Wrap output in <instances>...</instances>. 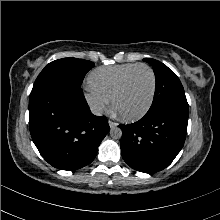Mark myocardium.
I'll use <instances>...</instances> for the list:
<instances>
[{
	"instance_id": "obj_1",
	"label": "myocardium",
	"mask_w": 220,
	"mask_h": 220,
	"mask_svg": "<svg viewBox=\"0 0 220 220\" xmlns=\"http://www.w3.org/2000/svg\"><path fill=\"white\" fill-rule=\"evenodd\" d=\"M139 68H146L152 77V91H151V95L149 98V101L147 103V105L143 108L142 111H140L137 114L134 115H124L121 114L117 111L116 109V100L119 97V95L123 92L128 79L130 78V76L133 74V72ZM156 88H157V78H156V74L153 70V68L151 66H149L148 64L145 63H140L137 64L136 66H134L132 69H130L125 75L124 77L121 79L120 83L118 84V86L116 87L115 91L113 92V95L111 97V103H112V107L113 109L120 115V117L126 121H137L139 119H141L142 117H144L148 111L150 110L153 102H154V98H155V94H156Z\"/></svg>"
}]
</instances>
